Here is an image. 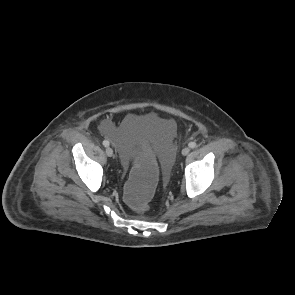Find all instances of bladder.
Segmentation results:
<instances>
[{
	"instance_id": "bladder-1",
	"label": "bladder",
	"mask_w": 295,
	"mask_h": 295,
	"mask_svg": "<svg viewBox=\"0 0 295 295\" xmlns=\"http://www.w3.org/2000/svg\"><path fill=\"white\" fill-rule=\"evenodd\" d=\"M175 132V125L171 119L157 114H129L121 123L113 128L109 134L117 142V161L121 169L131 167V151L141 142L152 143L160 160V167L164 175L171 176L174 173V159L170 141ZM132 159V158H131Z\"/></svg>"
}]
</instances>
